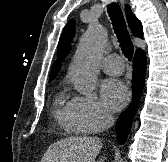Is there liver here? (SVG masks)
I'll list each match as a JSON object with an SVG mask.
<instances>
[{"mask_svg": "<svg viewBox=\"0 0 168 162\" xmlns=\"http://www.w3.org/2000/svg\"><path fill=\"white\" fill-rule=\"evenodd\" d=\"M102 148L97 137H69L49 146L40 162H95ZM101 157L97 162H104Z\"/></svg>", "mask_w": 168, "mask_h": 162, "instance_id": "liver-1", "label": "liver"}]
</instances>
